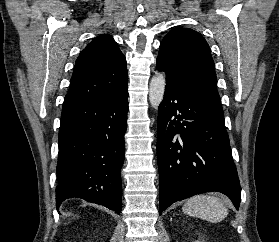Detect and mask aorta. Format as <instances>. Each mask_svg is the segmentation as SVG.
<instances>
[{
    "instance_id": "obj_1",
    "label": "aorta",
    "mask_w": 279,
    "mask_h": 242,
    "mask_svg": "<svg viewBox=\"0 0 279 242\" xmlns=\"http://www.w3.org/2000/svg\"><path fill=\"white\" fill-rule=\"evenodd\" d=\"M165 91V76L156 74L149 84V101L153 108L157 109L163 100Z\"/></svg>"
}]
</instances>
